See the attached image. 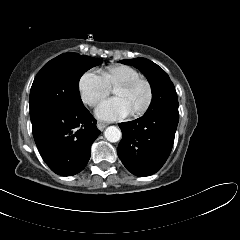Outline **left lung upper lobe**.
<instances>
[{"instance_id": "obj_1", "label": "left lung upper lobe", "mask_w": 240, "mask_h": 240, "mask_svg": "<svg viewBox=\"0 0 240 240\" xmlns=\"http://www.w3.org/2000/svg\"><path fill=\"white\" fill-rule=\"evenodd\" d=\"M120 62L135 66L148 79L152 90V101L147 112L162 107L178 109L174 85L161 67L145 58L126 59Z\"/></svg>"}]
</instances>
